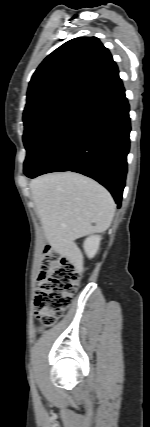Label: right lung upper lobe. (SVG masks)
Returning a JSON list of instances; mask_svg holds the SVG:
<instances>
[{
  "mask_svg": "<svg viewBox=\"0 0 150 427\" xmlns=\"http://www.w3.org/2000/svg\"><path fill=\"white\" fill-rule=\"evenodd\" d=\"M120 80L116 63L98 38L72 39L46 57L33 74L24 115L54 104L80 107Z\"/></svg>",
  "mask_w": 150,
  "mask_h": 427,
  "instance_id": "cb5924a9",
  "label": "right lung upper lobe"
}]
</instances>
